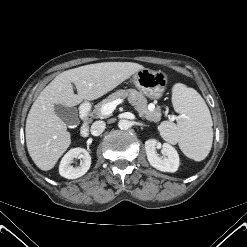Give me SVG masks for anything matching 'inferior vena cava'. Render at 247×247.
Wrapping results in <instances>:
<instances>
[{"label": "inferior vena cava", "instance_id": "inferior-vena-cava-1", "mask_svg": "<svg viewBox=\"0 0 247 247\" xmlns=\"http://www.w3.org/2000/svg\"><path fill=\"white\" fill-rule=\"evenodd\" d=\"M106 128V124L104 121H95L92 125H91V134L94 136H99L100 134L103 133V131Z\"/></svg>", "mask_w": 247, "mask_h": 247}]
</instances>
